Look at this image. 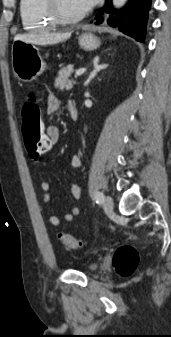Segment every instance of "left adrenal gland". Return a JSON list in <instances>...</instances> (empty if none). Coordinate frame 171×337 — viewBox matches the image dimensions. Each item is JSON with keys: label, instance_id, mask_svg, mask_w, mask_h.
<instances>
[{"label": "left adrenal gland", "instance_id": "a2214340", "mask_svg": "<svg viewBox=\"0 0 171 337\" xmlns=\"http://www.w3.org/2000/svg\"><path fill=\"white\" fill-rule=\"evenodd\" d=\"M108 67L107 64L99 65V58L96 57L94 60V70L91 72L89 78L84 83V86H87L92 79L97 75L98 72H100L102 69H106Z\"/></svg>", "mask_w": 171, "mask_h": 337}]
</instances>
